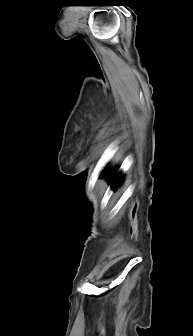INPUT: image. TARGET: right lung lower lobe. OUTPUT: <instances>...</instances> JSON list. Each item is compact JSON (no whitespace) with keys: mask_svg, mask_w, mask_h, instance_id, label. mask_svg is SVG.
I'll return each mask as SVG.
<instances>
[{"mask_svg":"<svg viewBox=\"0 0 193 336\" xmlns=\"http://www.w3.org/2000/svg\"><path fill=\"white\" fill-rule=\"evenodd\" d=\"M112 179H113V176H112ZM121 181V179L119 180V182ZM119 182L117 183V184H115L116 186L115 187H117V185L119 184Z\"/></svg>","mask_w":193,"mask_h":336,"instance_id":"obj_1","label":"right lung lower lobe"}]
</instances>
